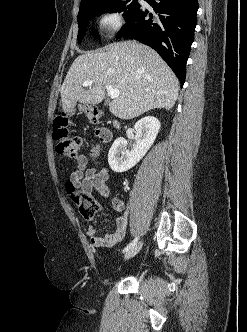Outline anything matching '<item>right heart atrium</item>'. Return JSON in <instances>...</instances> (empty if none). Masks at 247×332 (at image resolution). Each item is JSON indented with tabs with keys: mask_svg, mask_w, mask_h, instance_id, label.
Wrapping results in <instances>:
<instances>
[{
	"mask_svg": "<svg viewBox=\"0 0 247 332\" xmlns=\"http://www.w3.org/2000/svg\"><path fill=\"white\" fill-rule=\"evenodd\" d=\"M124 20L117 10H107L103 12L99 19L100 29L107 37H112L123 27Z\"/></svg>",
	"mask_w": 247,
	"mask_h": 332,
	"instance_id": "right-heart-atrium-1",
	"label": "right heart atrium"
}]
</instances>
